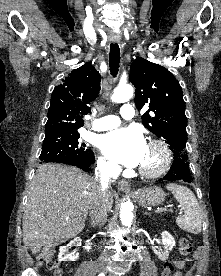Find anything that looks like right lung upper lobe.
<instances>
[{
	"label": "right lung upper lobe",
	"instance_id": "obj_1",
	"mask_svg": "<svg viewBox=\"0 0 221 276\" xmlns=\"http://www.w3.org/2000/svg\"><path fill=\"white\" fill-rule=\"evenodd\" d=\"M101 76L90 62L75 69L51 95L45 133L77 132L84 125L83 115L100 90Z\"/></svg>",
	"mask_w": 221,
	"mask_h": 276
}]
</instances>
